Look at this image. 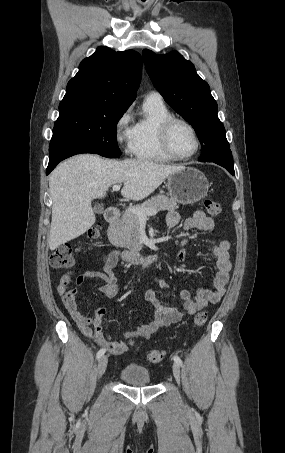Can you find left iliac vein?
<instances>
[{
	"label": "left iliac vein",
	"instance_id": "left-iliac-vein-1",
	"mask_svg": "<svg viewBox=\"0 0 285 453\" xmlns=\"http://www.w3.org/2000/svg\"><path fill=\"white\" fill-rule=\"evenodd\" d=\"M173 375L178 384H180V367L177 363H174L173 366Z\"/></svg>",
	"mask_w": 285,
	"mask_h": 453
}]
</instances>
